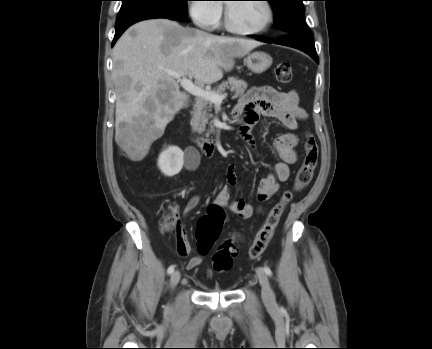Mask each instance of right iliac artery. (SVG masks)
Instances as JSON below:
<instances>
[{"mask_svg":"<svg viewBox=\"0 0 432 349\" xmlns=\"http://www.w3.org/2000/svg\"><path fill=\"white\" fill-rule=\"evenodd\" d=\"M173 271H174V265L169 266V268L167 270L168 274H172Z\"/></svg>","mask_w":432,"mask_h":349,"instance_id":"82829eb1","label":"right iliac artery"}]
</instances>
